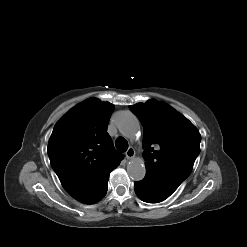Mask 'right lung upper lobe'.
<instances>
[{
  "instance_id": "cb5924a9",
  "label": "right lung upper lobe",
  "mask_w": 247,
  "mask_h": 247,
  "mask_svg": "<svg viewBox=\"0 0 247 247\" xmlns=\"http://www.w3.org/2000/svg\"><path fill=\"white\" fill-rule=\"evenodd\" d=\"M112 111L110 103L87 99L56 123L49 139L51 166L68 194L78 201L108 178L123 158L107 133Z\"/></svg>"
}]
</instances>
